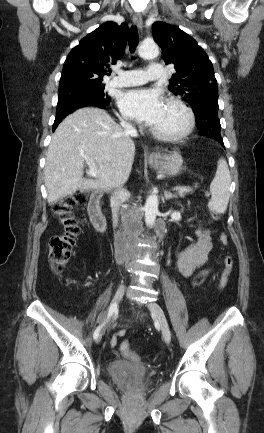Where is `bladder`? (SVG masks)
Returning <instances> with one entry per match:
<instances>
[{"label":"bladder","mask_w":264,"mask_h":433,"mask_svg":"<svg viewBox=\"0 0 264 433\" xmlns=\"http://www.w3.org/2000/svg\"><path fill=\"white\" fill-rule=\"evenodd\" d=\"M111 379L120 387L134 392H143L147 389L149 375L146 371L123 363L113 362L108 365Z\"/></svg>","instance_id":"obj_1"}]
</instances>
